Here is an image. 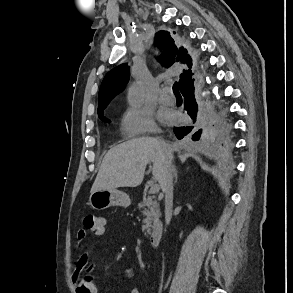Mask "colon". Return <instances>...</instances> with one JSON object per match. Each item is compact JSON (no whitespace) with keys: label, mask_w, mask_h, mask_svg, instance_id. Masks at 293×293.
Listing matches in <instances>:
<instances>
[{"label":"colon","mask_w":293,"mask_h":293,"mask_svg":"<svg viewBox=\"0 0 293 293\" xmlns=\"http://www.w3.org/2000/svg\"><path fill=\"white\" fill-rule=\"evenodd\" d=\"M105 219L102 216L89 213L85 215L83 224L86 230L92 232L94 235L99 234L104 229Z\"/></svg>","instance_id":"colon-1"}]
</instances>
